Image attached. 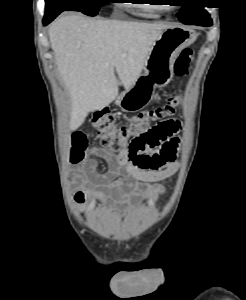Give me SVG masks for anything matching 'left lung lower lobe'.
I'll return each instance as SVG.
<instances>
[{
  "label": "left lung lower lobe",
  "instance_id": "left-lung-lower-lobe-1",
  "mask_svg": "<svg viewBox=\"0 0 246 300\" xmlns=\"http://www.w3.org/2000/svg\"><path fill=\"white\" fill-rule=\"evenodd\" d=\"M195 25H199V26H211L212 25V20L209 19L207 21H202V22L196 23Z\"/></svg>",
  "mask_w": 246,
  "mask_h": 300
}]
</instances>
